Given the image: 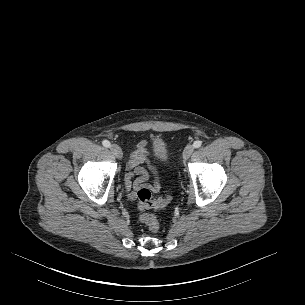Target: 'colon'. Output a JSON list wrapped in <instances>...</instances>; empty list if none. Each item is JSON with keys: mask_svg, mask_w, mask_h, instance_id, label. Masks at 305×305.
I'll return each instance as SVG.
<instances>
[{"mask_svg": "<svg viewBox=\"0 0 305 305\" xmlns=\"http://www.w3.org/2000/svg\"><path fill=\"white\" fill-rule=\"evenodd\" d=\"M137 208L139 211V219L148 231L156 233L160 230L159 219L148 212L150 209H158L166 206L172 199L171 195L168 194L162 198L154 199L152 198V193L149 188L143 187L137 192Z\"/></svg>", "mask_w": 305, "mask_h": 305, "instance_id": "5ec220e1", "label": "colon"}]
</instances>
